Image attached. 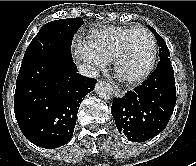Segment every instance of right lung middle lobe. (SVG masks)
Returning <instances> with one entry per match:
<instances>
[{"label":"right lung middle lobe","instance_id":"obj_1","mask_svg":"<svg viewBox=\"0 0 196 166\" xmlns=\"http://www.w3.org/2000/svg\"><path fill=\"white\" fill-rule=\"evenodd\" d=\"M82 24L83 21L79 17L46 23L31 41L23 60L40 55H56L72 59V39Z\"/></svg>","mask_w":196,"mask_h":166}]
</instances>
